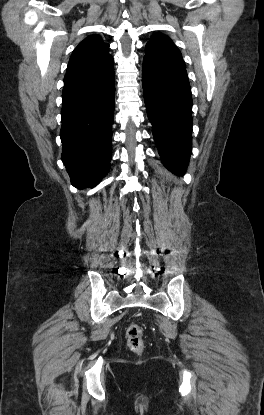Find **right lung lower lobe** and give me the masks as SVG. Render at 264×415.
<instances>
[{"label": "right lung lower lobe", "instance_id": "1", "mask_svg": "<svg viewBox=\"0 0 264 415\" xmlns=\"http://www.w3.org/2000/svg\"><path fill=\"white\" fill-rule=\"evenodd\" d=\"M115 73L64 85L61 159L78 189L93 188L108 173L114 119Z\"/></svg>", "mask_w": 264, "mask_h": 415}]
</instances>
